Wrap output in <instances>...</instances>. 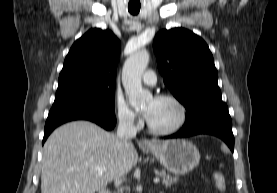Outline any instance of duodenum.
<instances>
[{"label":"duodenum","instance_id":"duodenum-1","mask_svg":"<svg viewBox=\"0 0 277 193\" xmlns=\"http://www.w3.org/2000/svg\"><path fill=\"white\" fill-rule=\"evenodd\" d=\"M99 193H111V191L107 188H104V189L100 190Z\"/></svg>","mask_w":277,"mask_h":193}]
</instances>
